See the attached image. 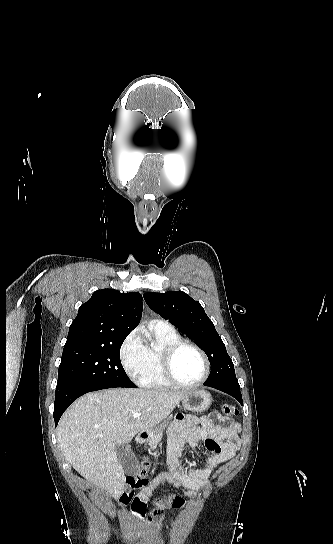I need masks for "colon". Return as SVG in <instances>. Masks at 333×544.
I'll return each instance as SVG.
<instances>
[{"label":"colon","mask_w":333,"mask_h":544,"mask_svg":"<svg viewBox=\"0 0 333 544\" xmlns=\"http://www.w3.org/2000/svg\"><path fill=\"white\" fill-rule=\"evenodd\" d=\"M222 413L227 417L236 416L238 414V410L234 405L231 404H223L221 406ZM150 480V475L148 473H145L140 476H128L126 478V486L124 489V492L120 496V504L121 505H128L129 503H133L136 497L134 496V491L137 489L145 488L148 486Z\"/></svg>","instance_id":"5ec220e1"}]
</instances>
